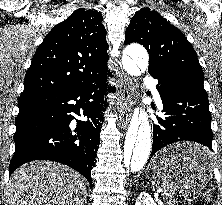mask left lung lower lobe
Returning <instances> with one entry per match:
<instances>
[{"label": "left lung lower lobe", "instance_id": "left-lung-lower-lobe-1", "mask_svg": "<svg viewBox=\"0 0 222 205\" xmlns=\"http://www.w3.org/2000/svg\"><path fill=\"white\" fill-rule=\"evenodd\" d=\"M158 79L156 86L163 103L165 117H157L153 127V146L150 158L156 152L175 142L193 141L207 147L204 151H191L180 157L184 164H210L212 151L211 114L204 85L175 71L153 69ZM149 158V160H150Z\"/></svg>", "mask_w": 222, "mask_h": 205}]
</instances>
